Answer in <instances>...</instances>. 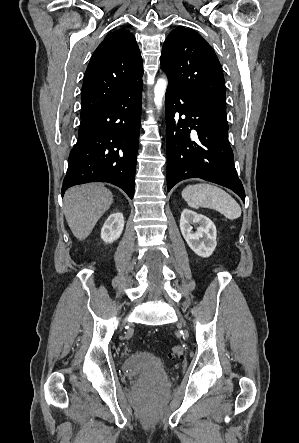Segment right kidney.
Wrapping results in <instances>:
<instances>
[{
    "label": "right kidney",
    "instance_id": "ca27d5eb",
    "mask_svg": "<svg viewBox=\"0 0 299 443\" xmlns=\"http://www.w3.org/2000/svg\"><path fill=\"white\" fill-rule=\"evenodd\" d=\"M124 217L122 213H113L105 221L101 229V238L105 243H112L122 234Z\"/></svg>",
    "mask_w": 299,
    "mask_h": 443
}]
</instances>
